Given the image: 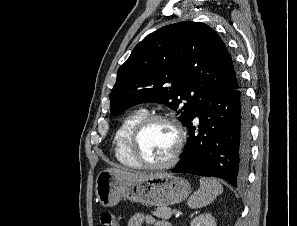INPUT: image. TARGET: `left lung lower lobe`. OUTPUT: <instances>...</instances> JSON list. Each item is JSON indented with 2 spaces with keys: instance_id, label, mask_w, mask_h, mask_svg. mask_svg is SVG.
Masks as SVG:
<instances>
[{
  "instance_id": "left-lung-lower-lobe-1",
  "label": "left lung lower lobe",
  "mask_w": 297,
  "mask_h": 226,
  "mask_svg": "<svg viewBox=\"0 0 297 226\" xmlns=\"http://www.w3.org/2000/svg\"><path fill=\"white\" fill-rule=\"evenodd\" d=\"M195 117H199L198 127L192 124ZM185 126L189 138L172 172L218 177L234 187L245 182L250 159V108L241 85L206 90Z\"/></svg>"
}]
</instances>
